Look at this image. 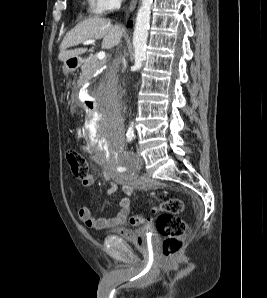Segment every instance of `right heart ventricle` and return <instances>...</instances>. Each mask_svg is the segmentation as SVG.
Segmentation results:
<instances>
[{"instance_id": "obj_1", "label": "right heart ventricle", "mask_w": 267, "mask_h": 298, "mask_svg": "<svg viewBox=\"0 0 267 298\" xmlns=\"http://www.w3.org/2000/svg\"><path fill=\"white\" fill-rule=\"evenodd\" d=\"M88 13L91 15H98L97 0H86Z\"/></svg>"}]
</instances>
